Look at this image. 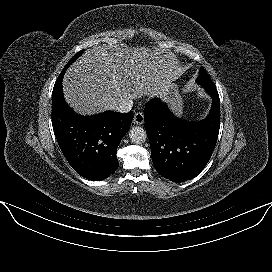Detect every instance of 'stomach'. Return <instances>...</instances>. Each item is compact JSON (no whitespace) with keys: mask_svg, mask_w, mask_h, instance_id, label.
I'll return each instance as SVG.
<instances>
[{"mask_svg":"<svg viewBox=\"0 0 272 272\" xmlns=\"http://www.w3.org/2000/svg\"><path fill=\"white\" fill-rule=\"evenodd\" d=\"M166 99L170 102L172 110L178 114H182L183 103L175 84L170 83L167 89Z\"/></svg>","mask_w":272,"mask_h":272,"instance_id":"stomach-1","label":"stomach"}]
</instances>
